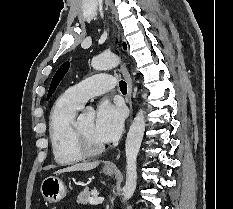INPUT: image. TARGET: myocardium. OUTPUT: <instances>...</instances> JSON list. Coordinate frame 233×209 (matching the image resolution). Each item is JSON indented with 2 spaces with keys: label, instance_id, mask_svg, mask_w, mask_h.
Masks as SVG:
<instances>
[{
  "label": "myocardium",
  "instance_id": "f54148a6",
  "mask_svg": "<svg viewBox=\"0 0 233 209\" xmlns=\"http://www.w3.org/2000/svg\"><path fill=\"white\" fill-rule=\"evenodd\" d=\"M73 141L75 148L85 157L97 156L105 149L104 145L102 144L98 146L91 145L82 134L78 126V122L73 123Z\"/></svg>",
  "mask_w": 233,
  "mask_h": 209
}]
</instances>
